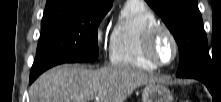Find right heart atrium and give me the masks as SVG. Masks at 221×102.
<instances>
[{"instance_id":"right-heart-atrium-1","label":"right heart atrium","mask_w":221,"mask_h":102,"mask_svg":"<svg viewBox=\"0 0 221 102\" xmlns=\"http://www.w3.org/2000/svg\"><path fill=\"white\" fill-rule=\"evenodd\" d=\"M106 16H104L98 23L95 30V40L98 46H103L106 40Z\"/></svg>"}]
</instances>
